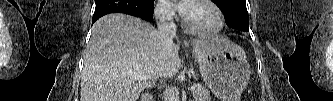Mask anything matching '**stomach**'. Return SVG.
I'll return each mask as SVG.
<instances>
[{
  "mask_svg": "<svg viewBox=\"0 0 333 101\" xmlns=\"http://www.w3.org/2000/svg\"><path fill=\"white\" fill-rule=\"evenodd\" d=\"M205 46L206 55L198 64L206 85L222 101H239L250 77L245 52L221 37L205 40Z\"/></svg>",
  "mask_w": 333,
  "mask_h": 101,
  "instance_id": "0dacf381",
  "label": "stomach"
}]
</instances>
